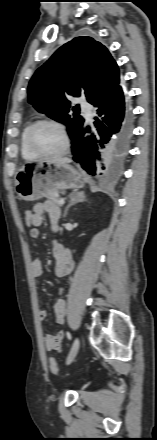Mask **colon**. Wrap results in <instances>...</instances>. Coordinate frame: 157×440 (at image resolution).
Returning <instances> with one entry per match:
<instances>
[{
	"instance_id": "obj_1",
	"label": "colon",
	"mask_w": 157,
	"mask_h": 440,
	"mask_svg": "<svg viewBox=\"0 0 157 440\" xmlns=\"http://www.w3.org/2000/svg\"><path fill=\"white\" fill-rule=\"evenodd\" d=\"M24 221L25 224L29 227H32L34 225L35 219H34V213L30 209H26L24 211ZM49 368L52 374L58 375L59 374V367L57 364V361L55 358L51 357L49 359Z\"/></svg>"
}]
</instances>
